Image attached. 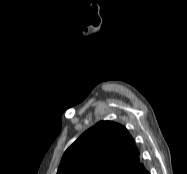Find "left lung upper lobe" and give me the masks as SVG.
<instances>
[{
  "mask_svg": "<svg viewBox=\"0 0 187 174\" xmlns=\"http://www.w3.org/2000/svg\"><path fill=\"white\" fill-rule=\"evenodd\" d=\"M143 169L127 129L101 121L66 150L57 174H136Z\"/></svg>",
  "mask_w": 187,
  "mask_h": 174,
  "instance_id": "left-lung-upper-lobe-1",
  "label": "left lung upper lobe"
}]
</instances>
